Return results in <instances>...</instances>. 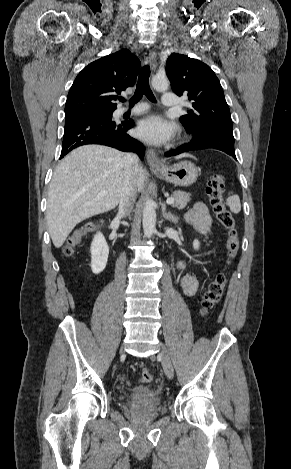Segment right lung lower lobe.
<instances>
[{"label": "right lung lower lobe", "instance_id": "obj_1", "mask_svg": "<svg viewBox=\"0 0 291 469\" xmlns=\"http://www.w3.org/2000/svg\"><path fill=\"white\" fill-rule=\"evenodd\" d=\"M133 126V121L115 122L112 116L99 113L68 117L60 159L72 149L86 144H101L124 152H136L143 159V144L127 134Z\"/></svg>", "mask_w": 291, "mask_h": 469}]
</instances>
